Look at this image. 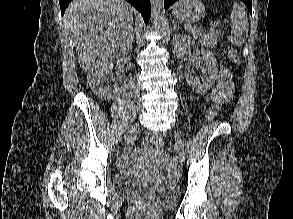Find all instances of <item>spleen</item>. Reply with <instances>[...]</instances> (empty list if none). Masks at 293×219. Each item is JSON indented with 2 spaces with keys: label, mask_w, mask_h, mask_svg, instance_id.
Instances as JSON below:
<instances>
[{
  "label": "spleen",
  "mask_w": 293,
  "mask_h": 219,
  "mask_svg": "<svg viewBox=\"0 0 293 219\" xmlns=\"http://www.w3.org/2000/svg\"><path fill=\"white\" fill-rule=\"evenodd\" d=\"M232 22L231 35L228 40L235 45H242L249 31L248 17L244 8L238 3L233 4V10L230 16Z\"/></svg>",
  "instance_id": "3e777b00"
}]
</instances>
